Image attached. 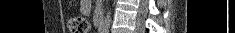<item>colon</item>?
<instances>
[{
	"label": "colon",
	"instance_id": "5ec220e1",
	"mask_svg": "<svg viewBox=\"0 0 235 33\" xmlns=\"http://www.w3.org/2000/svg\"><path fill=\"white\" fill-rule=\"evenodd\" d=\"M89 23L83 16H74L69 20V29L71 33H87Z\"/></svg>",
	"mask_w": 235,
	"mask_h": 33
}]
</instances>
